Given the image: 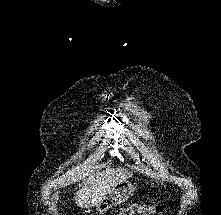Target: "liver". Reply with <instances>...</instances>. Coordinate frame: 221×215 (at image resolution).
I'll use <instances>...</instances> for the list:
<instances>
[{
    "instance_id": "liver-1",
    "label": "liver",
    "mask_w": 221,
    "mask_h": 215,
    "mask_svg": "<svg viewBox=\"0 0 221 215\" xmlns=\"http://www.w3.org/2000/svg\"><path fill=\"white\" fill-rule=\"evenodd\" d=\"M130 176L132 173L128 171L111 168L97 173L80 185V189L75 193V203L81 208L96 206L114 186L126 181Z\"/></svg>"
}]
</instances>
